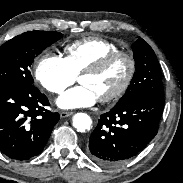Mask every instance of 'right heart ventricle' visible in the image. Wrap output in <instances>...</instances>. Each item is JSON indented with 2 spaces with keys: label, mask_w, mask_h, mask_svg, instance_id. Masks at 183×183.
Returning <instances> with one entry per match:
<instances>
[{
  "label": "right heart ventricle",
  "mask_w": 183,
  "mask_h": 183,
  "mask_svg": "<svg viewBox=\"0 0 183 183\" xmlns=\"http://www.w3.org/2000/svg\"><path fill=\"white\" fill-rule=\"evenodd\" d=\"M118 50V46L112 41L99 37H88L68 44L64 48V59L77 76L99 59Z\"/></svg>",
  "instance_id": "obj_1"
}]
</instances>
